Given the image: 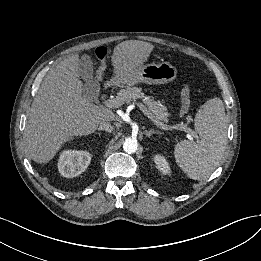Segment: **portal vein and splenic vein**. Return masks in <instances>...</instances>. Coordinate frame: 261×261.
Returning a JSON list of instances; mask_svg holds the SVG:
<instances>
[{"label":"portal vein and splenic vein","mask_w":261,"mask_h":261,"mask_svg":"<svg viewBox=\"0 0 261 261\" xmlns=\"http://www.w3.org/2000/svg\"><path fill=\"white\" fill-rule=\"evenodd\" d=\"M104 104L106 107L109 108H119L121 106L120 102L117 99H107L104 101ZM137 107L142 111V113L150 120H152L159 128L164 129V130H174V129H179V130H184L186 131L191 138L194 137V132L187 127H183L181 125H174L171 127L166 126L163 123H157L155 119L153 118L152 114L148 111L146 106H144L142 103H137Z\"/></svg>","instance_id":"portal-vein-and-splenic-vein-1"}]
</instances>
